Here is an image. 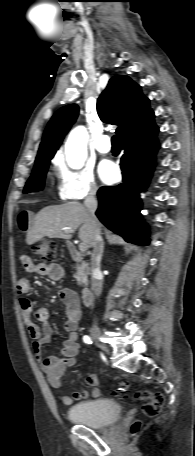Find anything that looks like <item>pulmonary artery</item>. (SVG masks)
I'll use <instances>...</instances> for the list:
<instances>
[{"instance_id":"1","label":"pulmonary artery","mask_w":195,"mask_h":456,"mask_svg":"<svg viewBox=\"0 0 195 456\" xmlns=\"http://www.w3.org/2000/svg\"><path fill=\"white\" fill-rule=\"evenodd\" d=\"M97 150L101 154H107L111 151V143L109 136L104 135L99 139Z\"/></svg>"}]
</instances>
